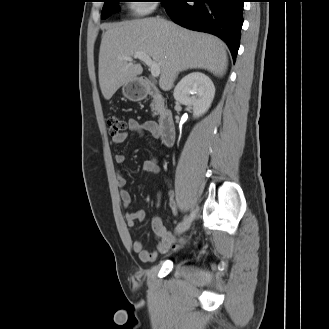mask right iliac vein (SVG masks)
<instances>
[{"instance_id":"1","label":"right iliac vein","mask_w":329,"mask_h":329,"mask_svg":"<svg viewBox=\"0 0 329 329\" xmlns=\"http://www.w3.org/2000/svg\"><path fill=\"white\" fill-rule=\"evenodd\" d=\"M190 220H184L181 224H179L176 228V234H182L183 232H185L186 230L189 229L190 225H191Z\"/></svg>"}]
</instances>
